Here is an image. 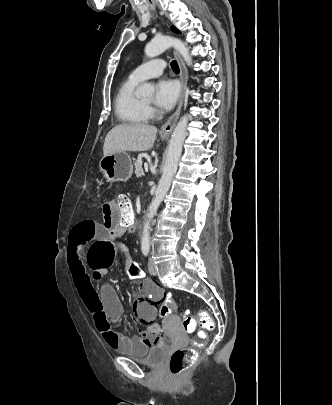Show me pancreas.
<instances>
[{
  "mask_svg": "<svg viewBox=\"0 0 332 405\" xmlns=\"http://www.w3.org/2000/svg\"><path fill=\"white\" fill-rule=\"evenodd\" d=\"M134 165H135V175L137 177L144 176V171H143V168H142V161L137 160Z\"/></svg>",
  "mask_w": 332,
  "mask_h": 405,
  "instance_id": "cf45deb5",
  "label": "pancreas"
}]
</instances>
